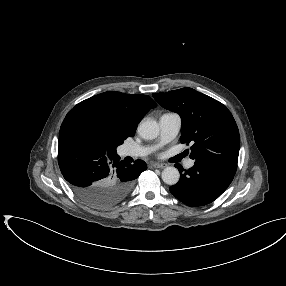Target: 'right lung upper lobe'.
Wrapping results in <instances>:
<instances>
[{"instance_id":"right-lung-upper-lobe-1","label":"right lung upper lobe","mask_w":286,"mask_h":286,"mask_svg":"<svg viewBox=\"0 0 286 286\" xmlns=\"http://www.w3.org/2000/svg\"><path fill=\"white\" fill-rule=\"evenodd\" d=\"M156 106L147 95L109 91L80 102L66 116L90 114L106 126L112 142L122 144L124 139L134 136L138 122Z\"/></svg>"}]
</instances>
